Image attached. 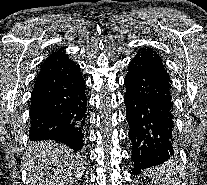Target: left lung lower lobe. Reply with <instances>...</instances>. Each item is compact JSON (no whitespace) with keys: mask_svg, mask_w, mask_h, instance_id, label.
<instances>
[{"mask_svg":"<svg viewBox=\"0 0 207 185\" xmlns=\"http://www.w3.org/2000/svg\"><path fill=\"white\" fill-rule=\"evenodd\" d=\"M125 85L133 174L137 175L174 156L171 81L146 68L129 67Z\"/></svg>","mask_w":207,"mask_h":185,"instance_id":"left-lung-lower-lobe-1","label":"left lung lower lobe"}]
</instances>
